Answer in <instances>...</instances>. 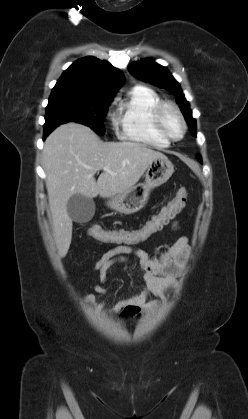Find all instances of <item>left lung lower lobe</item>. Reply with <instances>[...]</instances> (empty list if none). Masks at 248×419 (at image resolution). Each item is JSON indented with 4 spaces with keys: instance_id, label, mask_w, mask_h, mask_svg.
I'll use <instances>...</instances> for the list:
<instances>
[{
    "instance_id": "obj_1",
    "label": "left lung lower lobe",
    "mask_w": 248,
    "mask_h": 419,
    "mask_svg": "<svg viewBox=\"0 0 248 419\" xmlns=\"http://www.w3.org/2000/svg\"><path fill=\"white\" fill-rule=\"evenodd\" d=\"M198 160H199L200 162H202V160H201V157H200V156L198 157Z\"/></svg>"
}]
</instances>
